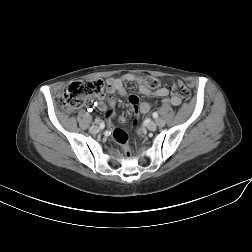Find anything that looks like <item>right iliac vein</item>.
Listing matches in <instances>:
<instances>
[{
	"instance_id": "obj_1",
	"label": "right iliac vein",
	"mask_w": 252,
	"mask_h": 252,
	"mask_svg": "<svg viewBox=\"0 0 252 252\" xmlns=\"http://www.w3.org/2000/svg\"><path fill=\"white\" fill-rule=\"evenodd\" d=\"M99 130H100V128L96 125V126H91L90 127V129H89V131L92 133V134H96V133H98L99 132Z\"/></svg>"
}]
</instances>
